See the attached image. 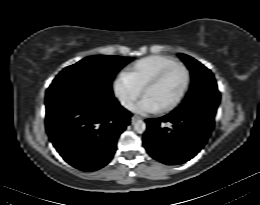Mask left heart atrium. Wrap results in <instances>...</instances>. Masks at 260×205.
<instances>
[{"label": "left heart atrium", "mask_w": 260, "mask_h": 205, "mask_svg": "<svg viewBox=\"0 0 260 205\" xmlns=\"http://www.w3.org/2000/svg\"><path fill=\"white\" fill-rule=\"evenodd\" d=\"M159 107L148 97H144L140 102H138L133 110L140 113H152L156 112Z\"/></svg>", "instance_id": "obj_1"}]
</instances>
